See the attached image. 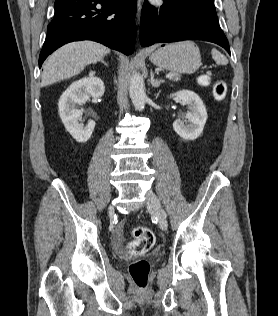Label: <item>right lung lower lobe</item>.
<instances>
[{
    "mask_svg": "<svg viewBox=\"0 0 278 316\" xmlns=\"http://www.w3.org/2000/svg\"><path fill=\"white\" fill-rule=\"evenodd\" d=\"M137 0H56L39 67L62 45L93 40L126 55L134 51Z\"/></svg>",
    "mask_w": 278,
    "mask_h": 316,
    "instance_id": "1",
    "label": "right lung lower lobe"
}]
</instances>
